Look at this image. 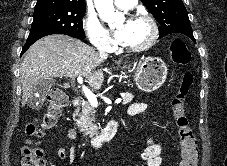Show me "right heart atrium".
<instances>
[{
  "instance_id": "right-heart-atrium-1",
  "label": "right heart atrium",
  "mask_w": 227,
  "mask_h": 166,
  "mask_svg": "<svg viewBox=\"0 0 227 166\" xmlns=\"http://www.w3.org/2000/svg\"><path fill=\"white\" fill-rule=\"evenodd\" d=\"M83 30L90 43L99 49L111 47V39L101 25L98 18L92 13H86L82 21Z\"/></svg>"
}]
</instances>
